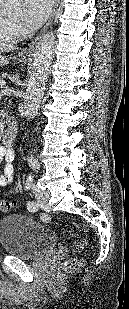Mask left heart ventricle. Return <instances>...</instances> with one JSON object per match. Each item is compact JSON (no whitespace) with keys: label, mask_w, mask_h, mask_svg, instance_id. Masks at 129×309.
Masks as SVG:
<instances>
[{"label":"left heart ventricle","mask_w":129,"mask_h":309,"mask_svg":"<svg viewBox=\"0 0 129 309\" xmlns=\"http://www.w3.org/2000/svg\"><path fill=\"white\" fill-rule=\"evenodd\" d=\"M13 20L15 21V22H19V17H17V18H13Z\"/></svg>","instance_id":"obj_1"}]
</instances>
